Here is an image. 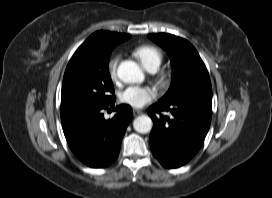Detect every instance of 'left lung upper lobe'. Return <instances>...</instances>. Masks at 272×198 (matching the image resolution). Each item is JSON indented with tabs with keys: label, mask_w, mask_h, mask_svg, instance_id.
Returning <instances> with one entry per match:
<instances>
[{
	"label": "left lung upper lobe",
	"mask_w": 272,
	"mask_h": 198,
	"mask_svg": "<svg viewBox=\"0 0 272 198\" xmlns=\"http://www.w3.org/2000/svg\"><path fill=\"white\" fill-rule=\"evenodd\" d=\"M169 55L173 70L172 82L161 103L176 100L212 102L208 71L193 45L187 40L166 33L149 34Z\"/></svg>",
	"instance_id": "5c2ea615"
}]
</instances>
